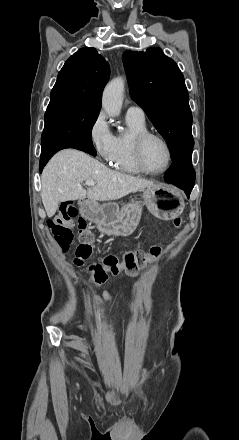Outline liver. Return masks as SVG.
<instances>
[{
	"label": "liver",
	"instance_id": "6515ba94",
	"mask_svg": "<svg viewBox=\"0 0 239 440\" xmlns=\"http://www.w3.org/2000/svg\"><path fill=\"white\" fill-rule=\"evenodd\" d=\"M94 180L96 186L82 188V182ZM144 188H159L149 180L106 168L98 160L78 150H62L45 166L41 176V198L48 218L54 216L59 202L69 200H119Z\"/></svg>",
	"mask_w": 239,
	"mask_h": 440
}]
</instances>
